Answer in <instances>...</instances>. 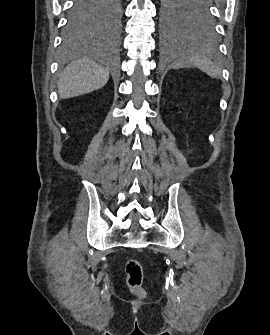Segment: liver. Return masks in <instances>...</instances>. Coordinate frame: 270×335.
<instances>
[{
    "label": "liver",
    "instance_id": "liver-1",
    "mask_svg": "<svg viewBox=\"0 0 270 335\" xmlns=\"http://www.w3.org/2000/svg\"><path fill=\"white\" fill-rule=\"evenodd\" d=\"M109 70L101 68L90 60L72 62L64 70L58 80V94L60 98H74L81 94H89L99 90L107 84Z\"/></svg>",
    "mask_w": 270,
    "mask_h": 335
}]
</instances>
